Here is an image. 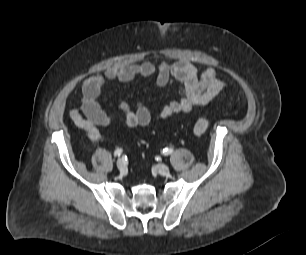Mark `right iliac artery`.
Here are the masks:
<instances>
[{"label": "right iliac artery", "instance_id": "obj_1", "mask_svg": "<svg viewBox=\"0 0 306 255\" xmlns=\"http://www.w3.org/2000/svg\"><path fill=\"white\" fill-rule=\"evenodd\" d=\"M122 152H123V149L118 148V149L115 150L114 156H120L122 154Z\"/></svg>", "mask_w": 306, "mask_h": 255}]
</instances>
